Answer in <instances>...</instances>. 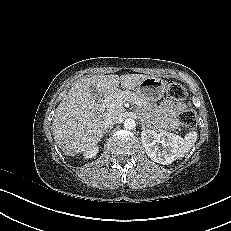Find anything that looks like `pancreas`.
<instances>
[{
	"label": "pancreas",
	"mask_w": 231,
	"mask_h": 231,
	"mask_svg": "<svg viewBox=\"0 0 231 231\" xmlns=\"http://www.w3.org/2000/svg\"><path fill=\"white\" fill-rule=\"evenodd\" d=\"M126 101L136 104L139 107L147 104L145 100H143L133 92H119L106 98L104 105L108 113H121L123 111V108L120 106V104Z\"/></svg>",
	"instance_id": "1"
}]
</instances>
